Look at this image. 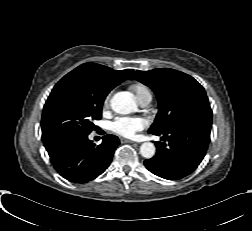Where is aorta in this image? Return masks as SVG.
<instances>
[{
    "mask_svg": "<svg viewBox=\"0 0 252 231\" xmlns=\"http://www.w3.org/2000/svg\"><path fill=\"white\" fill-rule=\"evenodd\" d=\"M110 104L112 110L119 114H129L137 108L134 96L129 92L116 93L111 98ZM155 150V145L151 142H145L140 146V154L146 159L152 158Z\"/></svg>",
    "mask_w": 252,
    "mask_h": 231,
    "instance_id": "1",
    "label": "aorta"
}]
</instances>
